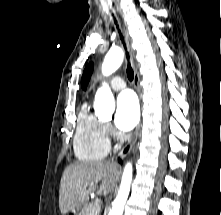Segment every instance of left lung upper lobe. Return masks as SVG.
Returning <instances> with one entry per match:
<instances>
[{"label":"left lung upper lobe","mask_w":221,"mask_h":215,"mask_svg":"<svg viewBox=\"0 0 221 215\" xmlns=\"http://www.w3.org/2000/svg\"><path fill=\"white\" fill-rule=\"evenodd\" d=\"M92 72H93V63H90L89 65L86 66L82 75L81 87L83 90H86Z\"/></svg>","instance_id":"left-lung-upper-lobe-1"}]
</instances>
